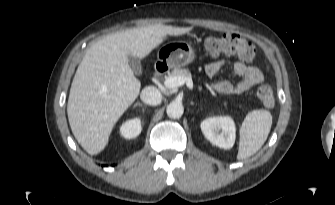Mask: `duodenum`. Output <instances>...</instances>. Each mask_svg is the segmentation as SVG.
I'll return each instance as SVG.
<instances>
[{"label": "duodenum", "mask_w": 335, "mask_h": 205, "mask_svg": "<svg viewBox=\"0 0 335 205\" xmlns=\"http://www.w3.org/2000/svg\"><path fill=\"white\" fill-rule=\"evenodd\" d=\"M168 70V65L165 61H158L155 64V76L159 77L162 76L163 74H165Z\"/></svg>", "instance_id": "obj_1"}]
</instances>
